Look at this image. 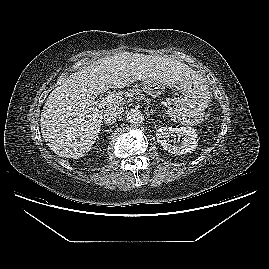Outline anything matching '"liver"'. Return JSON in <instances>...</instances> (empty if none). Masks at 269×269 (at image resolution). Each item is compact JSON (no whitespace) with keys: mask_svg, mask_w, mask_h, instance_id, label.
I'll use <instances>...</instances> for the list:
<instances>
[{"mask_svg":"<svg viewBox=\"0 0 269 269\" xmlns=\"http://www.w3.org/2000/svg\"><path fill=\"white\" fill-rule=\"evenodd\" d=\"M149 79L163 88L203 82L189 66L173 58L125 51L107 55L71 74L50 93L40 119L44 141L59 157H83L102 125L105 110L92 108L97 95ZM119 104L114 102L108 108Z\"/></svg>","mask_w":269,"mask_h":269,"instance_id":"liver-1","label":"liver"}]
</instances>
